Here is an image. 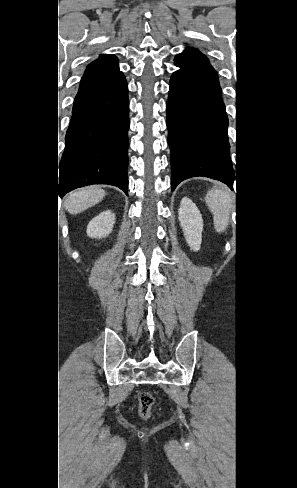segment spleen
<instances>
[{
    "label": "spleen",
    "instance_id": "1",
    "mask_svg": "<svg viewBox=\"0 0 297 488\" xmlns=\"http://www.w3.org/2000/svg\"><path fill=\"white\" fill-rule=\"evenodd\" d=\"M205 200L209 209L213 212L215 229L218 232L222 231L228 222L230 197L225 191L213 188L208 192Z\"/></svg>",
    "mask_w": 297,
    "mask_h": 488
}]
</instances>
